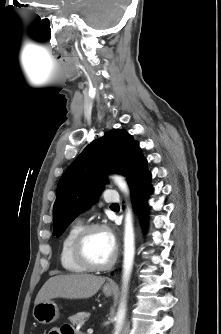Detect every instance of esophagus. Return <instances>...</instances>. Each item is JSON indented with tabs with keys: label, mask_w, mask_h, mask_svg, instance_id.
<instances>
[{
	"label": "esophagus",
	"mask_w": 221,
	"mask_h": 334,
	"mask_svg": "<svg viewBox=\"0 0 221 334\" xmlns=\"http://www.w3.org/2000/svg\"><path fill=\"white\" fill-rule=\"evenodd\" d=\"M107 285H108L109 287H115V283H114V282H109V283H107Z\"/></svg>",
	"instance_id": "34e87169"
}]
</instances>
